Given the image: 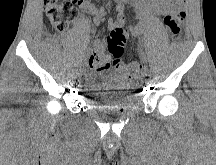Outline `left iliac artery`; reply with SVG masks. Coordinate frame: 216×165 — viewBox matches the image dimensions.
Returning a JSON list of instances; mask_svg holds the SVG:
<instances>
[{"label":"left iliac artery","instance_id":"1","mask_svg":"<svg viewBox=\"0 0 216 165\" xmlns=\"http://www.w3.org/2000/svg\"><path fill=\"white\" fill-rule=\"evenodd\" d=\"M140 54H141V57H142V63L144 65L143 71L148 72L150 70L149 69V65H150L149 64V58H146L143 52H141Z\"/></svg>","mask_w":216,"mask_h":165}]
</instances>
